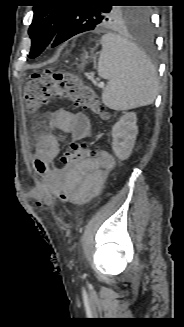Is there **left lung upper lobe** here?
Wrapping results in <instances>:
<instances>
[{
  "mask_svg": "<svg viewBox=\"0 0 184 327\" xmlns=\"http://www.w3.org/2000/svg\"><path fill=\"white\" fill-rule=\"evenodd\" d=\"M81 2L70 0L69 4L61 5L57 0H44V4L33 6L34 17L28 31L32 44L29 58H36L43 52L61 28L79 34L101 26L125 24L135 27L148 17L142 7L112 6L134 0H101L94 6L79 4Z\"/></svg>",
  "mask_w": 184,
  "mask_h": 327,
  "instance_id": "5c2ea615",
  "label": "left lung upper lobe"
}]
</instances>
